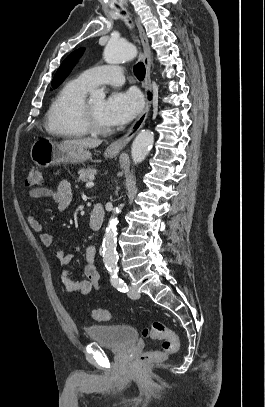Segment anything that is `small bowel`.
<instances>
[{"label": "small bowel", "mask_w": 265, "mask_h": 407, "mask_svg": "<svg viewBox=\"0 0 265 407\" xmlns=\"http://www.w3.org/2000/svg\"><path fill=\"white\" fill-rule=\"evenodd\" d=\"M30 199L50 198L60 211L66 210L72 200V191L70 183L62 180L58 183L56 190L49 187H37L28 192ZM30 228L39 236L41 243L45 246H51L54 243V236L48 233L42 223L33 215L27 216ZM77 248L73 253H67L64 249H58L55 252V258L59 263L61 282L64 289L70 293L89 294L92 290H98L101 283V275L95 262V250L89 247L86 251L85 279L75 280L69 275L68 264L76 256Z\"/></svg>", "instance_id": "small-bowel-1"}]
</instances>
